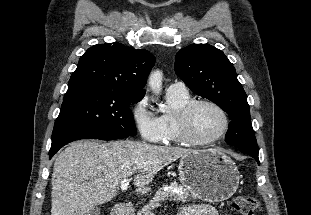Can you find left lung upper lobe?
<instances>
[{"instance_id": "1", "label": "left lung upper lobe", "mask_w": 311, "mask_h": 215, "mask_svg": "<svg viewBox=\"0 0 311 215\" xmlns=\"http://www.w3.org/2000/svg\"><path fill=\"white\" fill-rule=\"evenodd\" d=\"M175 60V72L188 87L217 104L231 118L225 141L258 153L247 96L226 55L208 44H192L181 49Z\"/></svg>"}]
</instances>
